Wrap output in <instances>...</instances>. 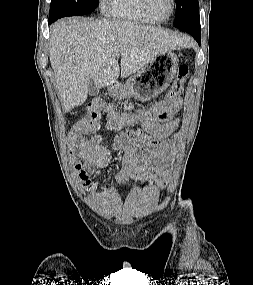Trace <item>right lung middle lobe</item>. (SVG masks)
Listing matches in <instances>:
<instances>
[{
	"mask_svg": "<svg viewBox=\"0 0 253 285\" xmlns=\"http://www.w3.org/2000/svg\"><path fill=\"white\" fill-rule=\"evenodd\" d=\"M97 6L98 0H52L49 18L83 15L92 12Z\"/></svg>",
	"mask_w": 253,
	"mask_h": 285,
	"instance_id": "1",
	"label": "right lung middle lobe"
}]
</instances>
